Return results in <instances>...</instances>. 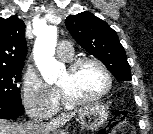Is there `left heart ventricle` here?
<instances>
[{
	"label": "left heart ventricle",
	"mask_w": 153,
	"mask_h": 134,
	"mask_svg": "<svg viewBox=\"0 0 153 134\" xmlns=\"http://www.w3.org/2000/svg\"><path fill=\"white\" fill-rule=\"evenodd\" d=\"M57 84L77 97H90L105 88L106 79L96 65L86 63L73 73L66 69Z\"/></svg>",
	"instance_id": "b2bd125f"
}]
</instances>
